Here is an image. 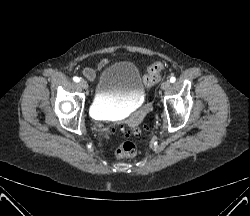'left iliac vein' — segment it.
<instances>
[{"label": "left iliac vein", "mask_w": 250, "mask_h": 216, "mask_svg": "<svg viewBox=\"0 0 250 216\" xmlns=\"http://www.w3.org/2000/svg\"><path fill=\"white\" fill-rule=\"evenodd\" d=\"M170 87V82L169 81H164L162 84H161V89L162 90H167L169 89Z\"/></svg>", "instance_id": "left-iliac-vein-1"}]
</instances>
